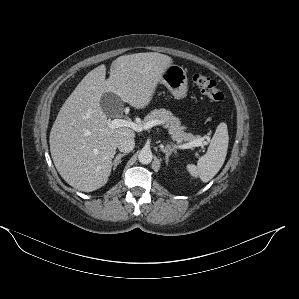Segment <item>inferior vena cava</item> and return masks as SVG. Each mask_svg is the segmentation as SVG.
Returning <instances> with one entry per match:
<instances>
[{"label":"inferior vena cava","mask_w":299,"mask_h":299,"mask_svg":"<svg viewBox=\"0 0 299 299\" xmlns=\"http://www.w3.org/2000/svg\"><path fill=\"white\" fill-rule=\"evenodd\" d=\"M135 147V141L133 138L129 136H124L119 139L117 143V148L121 152L129 153L131 152Z\"/></svg>","instance_id":"1"}]
</instances>
